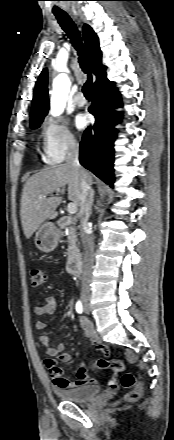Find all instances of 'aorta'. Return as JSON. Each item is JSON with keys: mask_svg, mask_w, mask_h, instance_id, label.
<instances>
[{"mask_svg": "<svg viewBox=\"0 0 174 440\" xmlns=\"http://www.w3.org/2000/svg\"><path fill=\"white\" fill-rule=\"evenodd\" d=\"M71 87V81L67 74H59L53 81V92L51 95L50 105L51 114L59 116L63 113Z\"/></svg>", "mask_w": 174, "mask_h": 440, "instance_id": "1", "label": "aorta"}]
</instances>
